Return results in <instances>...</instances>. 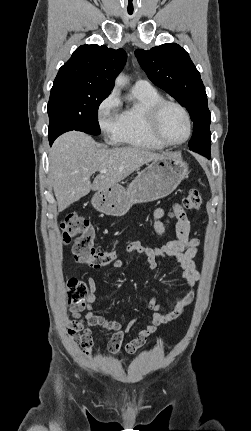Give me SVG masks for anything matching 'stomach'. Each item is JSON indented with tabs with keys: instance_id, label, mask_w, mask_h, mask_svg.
Instances as JSON below:
<instances>
[{
	"instance_id": "stomach-1",
	"label": "stomach",
	"mask_w": 251,
	"mask_h": 431,
	"mask_svg": "<svg viewBox=\"0 0 251 431\" xmlns=\"http://www.w3.org/2000/svg\"><path fill=\"white\" fill-rule=\"evenodd\" d=\"M188 175V167L173 154L152 161L138 173L127 189L119 184L98 191L93 207L106 215H125L136 203H146L168 196Z\"/></svg>"
}]
</instances>
